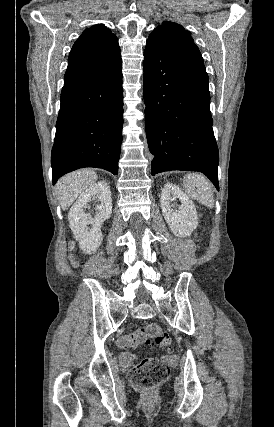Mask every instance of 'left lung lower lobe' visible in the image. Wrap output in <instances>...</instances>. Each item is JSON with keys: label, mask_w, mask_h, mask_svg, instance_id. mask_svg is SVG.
Segmentation results:
<instances>
[{"label": "left lung lower lobe", "mask_w": 274, "mask_h": 427, "mask_svg": "<svg viewBox=\"0 0 274 427\" xmlns=\"http://www.w3.org/2000/svg\"><path fill=\"white\" fill-rule=\"evenodd\" d=\"M146 135L151 174L186 170L205 174L219 190L218 148L204 64L147 40L144 51Z\"/></svg>", "instance_id": "0a47b994"}]
</instances>
